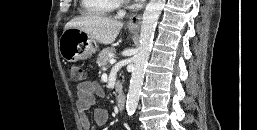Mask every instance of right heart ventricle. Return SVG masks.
<instances>
[{"instance_id":"e07e8e85","label":"right heart ventricle","mask_w":257,"mask_h":130,"mask_svg":"<svg viewBox=\"0 0 257 130\" xmlns=\"http://www.w3.org/2000/svg\"><path fill=\"white\" fill-rule=\"evenodd\" d=\"M80 3L84 13L96 16L109 15L118 6L115 0H81Z\"/></svg>"}]
</instances>
